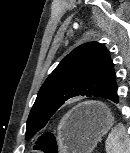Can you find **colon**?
I'll return each instance as SVG.
<instances>
[{
	"instance_id": "5ec220e1",
	"label": "colon",
	"mask_w": 130,
	"mask_h": 153,
	"mask_svg": "<svg viewBox=\"0 0 130 153\" xmlns=\"http://www.w3.org/2000/svg\"><path fill=\"white\" fill-rule=\"evenodd\" d=\"M56 148L55 136L52 133L41 135L34 145V151L37 153H56Z\"/></svg>"
}]
</instances>
